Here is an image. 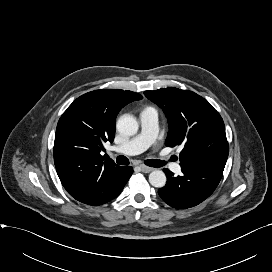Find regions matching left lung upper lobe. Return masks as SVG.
<instances>
[{
  "label": "left lung upper lobe",
  "mask_w": 272,
  "mask_h": 272,
  "mask_svg": "<svg viewBox=\"0 0 272 272\" xmlns=\"http://www.w3.org/2000/svg\"><path fill=\"white\" fill-rule=\"evenodd\" d=\"M144 94L162 108L168 120L166 146H183L181 166L224 170L229 154L225 125L208 101L194 92L173 87Z\"/></svg>",
  "instance_id": "obj_1"
}]
</instances>
